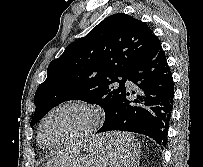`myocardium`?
Here are the masks:
<instances>
[{
  "instance_id": "myocardium-1",
  "label": "myocardium",
  "mask_w": 203,
  "mask_h": 167,
  "mask_svg": "<svg viewBox=\"0 0 203 167\" xmlns=\"http://www.w3.org/2000/svg\"><path fill=\"white\" fill-rule=\"evenodd\" d=\"M66 108H77V109H81V110H84L85 112H87L91 118L89 125L84 130H82L81 132L77 133L76 135H74L73 137H71L69 139H66L57 144L47 145L43 140V128H44L45 123L55 113H57L63 109H66ZM100 125H101V114L94 106H92L91 104H89L87 102H83V101H67V102L61 103V104L55 106L54 108H52L41 119V121L39 123V127H38V138H39L40 144L45 147H49V148L63 147V146L81 141L83 139H86L87 137L94 134L98 130Z\"/></svg>"
}]
</instances>
